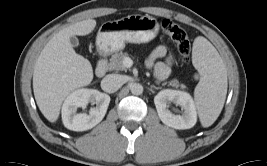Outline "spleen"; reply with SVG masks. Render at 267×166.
Instances as JSON below:
<instances>
[{"mask_svg":"<svg viewBox=\"0 0 267 166\" xmlns=\"http://www.w3.org/2000/svg\"><path fill=\"white\" fill-rule=\"evenodd\" d=\"M192 63L201 79L194 90V99L203 127L211 126L220 115L227 94V73L214 46L204 37L193 43Z\"/></svg>","mask_w":267,"mask_h":166,"instance_id":"spleen-1","label":"spleen"}]
</instances>
